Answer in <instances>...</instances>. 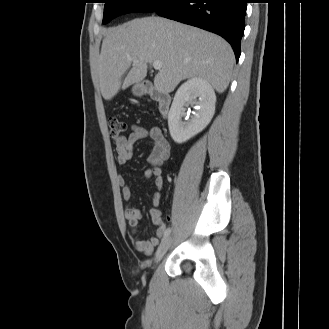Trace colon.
I'll return each mask as SVG.
<instances>
[{
  "mask_svg": "<svg viewBox=\"0 0 329 329\" xmlns=\"http://www.w3.org/2000/svg\"><path fill=\"white\" fill-rule=\"evenodd\" d=\"M108 126L110 136L115 140L123 137L127 129L126 124L116 117H111L108 120Z\"/></svg>",
  "mask_w": 329,
  "mask_h": 329,
  "instance_id": "1",
  "label": "colon"
}]
</instances>
